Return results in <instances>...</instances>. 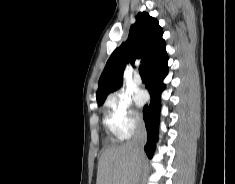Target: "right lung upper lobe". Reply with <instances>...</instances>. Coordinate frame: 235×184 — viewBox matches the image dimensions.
Returning <instances> with one entry per match:
<instances>
[{"instance_id":"obj_1","label":"right lung upper lobe","mask_w":235,"mask_h":184,"mask_svg":"<svg viewBox=\"0 0 235 184\" xmlns=\"http://www.w3.org/2000/svg\"><path fill=\"white\" fill-rule=\"evenodd\" d=\"M163 30L157 19L146 12L136 16L131 26L128 40L122 43L110 56L99 79L97 90L98 105H102L106 97L122 85L123 71L128 62L136 60L145 63L146 70L167 56Z\"/></svg>"}]
</instances>
